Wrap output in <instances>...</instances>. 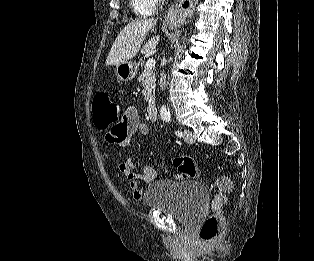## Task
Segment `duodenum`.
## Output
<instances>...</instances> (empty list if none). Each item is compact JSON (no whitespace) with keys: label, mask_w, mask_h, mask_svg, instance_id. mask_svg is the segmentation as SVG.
<instances>
[{"label":"duodenum","mask_w":314,"mask_h":261,"mask_svg":"<svg viewBox=\"0 0 314 261\" xmlns=\"http://www.w3.org/2000/svg\"><path fill=\"white\" fill-rule=\"evenodd\" d=\"M147 116L151 121H155L157 119V107L155 104L150 103L147 107Z\"/></svg>","instance_id":"obj_1"}]
</instances>
